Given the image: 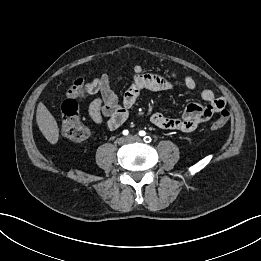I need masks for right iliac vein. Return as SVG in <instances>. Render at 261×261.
I'll return each instance as SVG.
<instances>
[{
  "label": "right iliac vein",
  "mask_w": 261,
  "mask_h": 261,
  "mask_svg": "<svg viewBox=\"0 0 261 261\" xmlns=\"http://www.w3.org/2000/svg\"><path fill=\"white\" fill-rule=\"evenodd\" d=\"M126 142H127V138H125V137H121V138L118 139V144H119V145H123V144H125Z\"/></svg>",
  "instance_id": "1"
}]
</instances>
